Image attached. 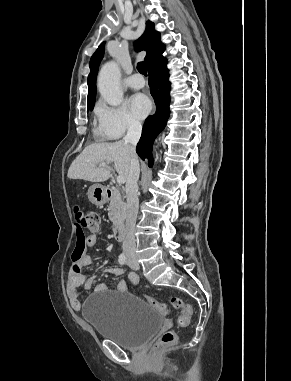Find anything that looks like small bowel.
I'll use <instances>...</instances> for the list:
<instances>
[{
	"mask_svg": "<svg viewBox=\"0 0 291 381\" xmlns=\"http://www.w3.org/2000/svg\"><path fill=\"white\" fill-rule=\"evenodd\" d=\"M85 243L88 247H95L98 243V237L96 235H89ZM77 261L80 266H86L92 263V258L87 254H82L79 259H73ZM109 272L115 276H120L123 274V269L118 266H112L109 268ZM129 281L133 285H138L139 276L136 273H130L128 275ZM94 280L92 278H85L83 275L78 273L75 269H71L68 274L67 282H66V292L69 299V303L71 308L74 311H79L82 307V303L80 301V293L81 287L90 288L93 285ZM108 289V286L100 282L95 286L96 292H103ZM127 289V285L125 281H119L116 285L117 291H125Z\"/></svg>",
	"mask_w": 291,
	"mask_h": 381,
	"instance_id": "small-bowel-1",
	"label": "small bowel"
}]
</instances>
